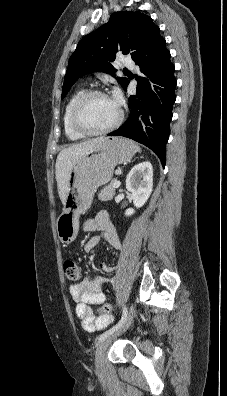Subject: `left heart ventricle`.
Segmentation results:
<instances>
[{"label": "left heart ventricle", "mask_w": 227, "mask_h": 396, "mask_svg": "<svg viewBox=\"0 0 227 396\" xmlns=\"http://www.w3.org/2000/svg\"><path fill=\"white\" fill-rule=\"evenodd\" d=\"M119 107L107 96H94L87 101L83 109L84 122L93 129H102L112 124Z\"/></svg>", "instance_id": "1"}]
</instances>
